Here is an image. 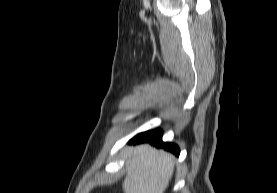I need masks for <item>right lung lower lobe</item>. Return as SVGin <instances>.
<instances>
[{
	"instance_id": "1",
	"label": "right lung lower lobe",
	"mask_w": 277,
	"mask_h": 193,
	"mask_svg": "<svg viewBox=\"0 0 277 193\" xmlns=\"http://www.w3.org/2000/svg\"><path fill=\"white\" fill-rule=\"evenodd\" d=\"M129 142L130 143L149 142L152 145H155L157 147H162L168 151H171L175 155H179L180 153L177 145L171 144V143H164L162 141V131L158 129L137 134Z\"/></svg>"
}]
</instances>
